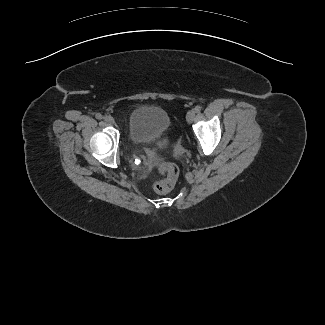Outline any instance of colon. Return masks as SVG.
Wrapping results in <instances>:
<instances>
[{"mask_svg":"<svg viewBox=\"0 0 325 325\" xmlns=\"http://www.w3.org/2000/svg\"><path fill=\"white\" fill-rule=\"evenodd\" d=\"M159 171L164 176V178L155 181L152 184V189L158 194H165L174 188L178 180L179 169L173 163H165L160 167Z\"/></svg>","mask_w":325,"mask_h":325,"instance_id":"colon-1","label":"colon"}]
</instances>
